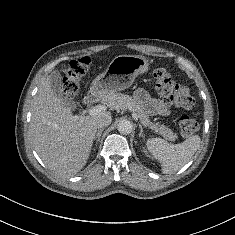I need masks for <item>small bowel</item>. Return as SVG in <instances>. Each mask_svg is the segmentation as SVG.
<instances>
[{
	"label": "small bowel",
	"mask_w": 235,
	"mask_h": 235,
	"mask_svg": "<svg viewBox=\"0 0 235 235\" xmlns=\"http://www.w3.org/2000/svg\"><path fill=\"white\" fill-rule=\"evenodd\" d=\"M134 96L140 106L149 114L158 116L169 114L168 106L161 100L152 98L146 90L139 88L135 91Z\"/></svg>",
	"instance_id": "1"
}]
</instances>
